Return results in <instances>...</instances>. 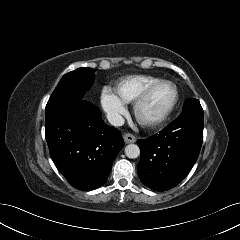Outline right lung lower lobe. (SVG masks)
<instances>
[{
    "label": "right lung lower lobe",
    "mask_w": 240,
    "mask_h": 240,
    "mask_svg": "<svg viewBox=\"0 0 240 240\" xmlns=\"http://www.w3.org/2000/svg\"><path fill=\"white\" fill-rule=\"evenodd\" d=\"M45 136L50 156L75 188L103 185L124 146L121 133L107 125L100 109L84 99L46 107Z\"/></svg>",
    "instance_id": "obj_1"
}]
</instances>
